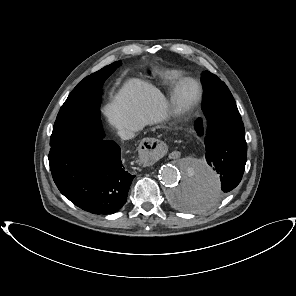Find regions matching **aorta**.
Masks as SVG:
<instances>
[{
	"instance_id": "obj_1",
	"label": "aorta",
	"mask_w": 296,
	"mask_h": 296,
	"mask_svg": "<svg viewBox=\"0 0 296 296\" xmlns=\"http://www.w3.org/2000/svg\"><path fill=\"white\" fill-rule=\"evenodd\" d=\"M159 179L166 187L168 201L179 211L208 212L220 200V179L216 172L201 160L186 159L178 168L165 165L160 169Z\"/></svg>"
}]
</instances>
